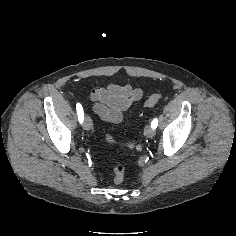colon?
I'll list each match as a JSON object with an SVG mask.
<instances>
[{
	"instance_id": "obj_1",
	"label": "colon",
	"mask_w": 236,
	"mask_h": 236,
	"mask_svg": "<svg viewBox=\"0 0 236 236\" xmlns=\"http://www.w3.org/2000/svg\"><path fill=\"white\" fill-rule=\"evenodd\" d=\"M161 100V95L158 93L152 94L145 102L144 107H153ZM107 143H115L116 141L111 136L105 138ZM122 148L127 150H139L141 144L139 139L135 138L129 142L120 144ZM113 181L116 184H120L124 179V168L122 166H115L113 168Z\"/></svg>"
}]
</instances>
